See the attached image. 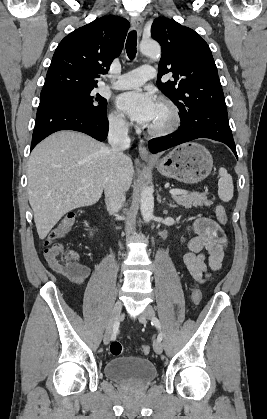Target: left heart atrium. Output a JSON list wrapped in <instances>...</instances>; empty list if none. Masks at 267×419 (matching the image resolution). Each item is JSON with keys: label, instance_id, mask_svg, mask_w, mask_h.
<instances>
[{"label": "left heart atrium", "instance_id": "obj_1", "mask_svg": "<svg viewBox=\"0 0 267 419\" xmlns=\"http://www.w3.org/2000/svg\"><path fill=\"white\" fill-rule=\"evenodd\" d=\"M116 103L120 110L143 126H149L158 104L152 93L138 90L119 95Z\"/></svg>", "mask_w": 267, "mask_h": 419}]
</instances>
